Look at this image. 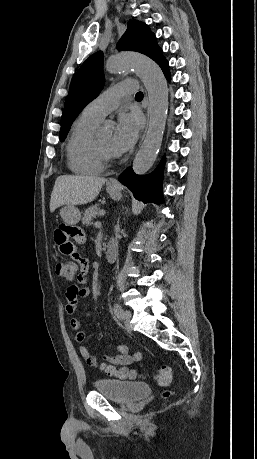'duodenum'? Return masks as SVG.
I'll use <instances>...</instances> for the list:
<instances>
[{
  "label": "duodenum",
  "instance_id": "410a0bca",
  "mask_svg": "<svg viewBox=\"0 0 257 459\" xmlns=\"http://www.w3.org/2000/svg\"><path fill=\"white\" fill-rule=\"evenodd\" d=\"M118 247L115 241H110L105 251V259L108 263H114L117 259Z\"/></svg>",
  "mask_w": 257,
  "mask_h": 459
}]
</instances>
